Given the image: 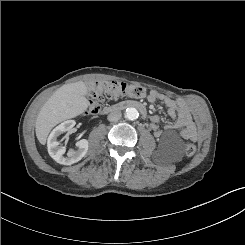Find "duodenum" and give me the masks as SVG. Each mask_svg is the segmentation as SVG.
<instances>
[{"instance_id":"duodenum-1","label":"duodenum","mask_w":245,"mask_h":245,"mask_svg":"<svg viewBox=\"0 0 245 245\" xmlns=\"http://www.w3.org/2000/svg\"><path fill=\"white\" fill-rule=\"evenodd\" d=\"M127 108H135L140 111L143 117L151 118V116L148 115L146 107L137 101H125V102H120L114 105H105L102 107L101 111L103 113H110L113 111L124 110Z\"/></svg>"}]
</instances>
